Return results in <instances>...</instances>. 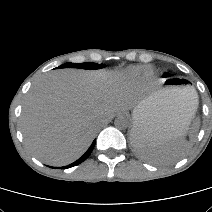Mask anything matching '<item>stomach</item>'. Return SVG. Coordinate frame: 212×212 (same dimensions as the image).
Instances as JSON below:
<instances>
[{
    "instance_id": "stomach-1",
    "label": "stomach",
    "mask_w": 212,
    "mask_h": 212,
    "mask_svg": "<svg viewBox=\"0 0 212 212\" xmlns=\"http://www.w3.org/2000/svg\"><path fill=\"white\" fill-rule=\"evenodd\" d=\"M164 86L154 91L148 98L142 100L133 111V120L143 118L149 131L173 139L184 134L175 114V99L173 92L183 86L177 79L167 80ZM135 125L131 131V138Z\"/></svg>"
}]
</instances>
